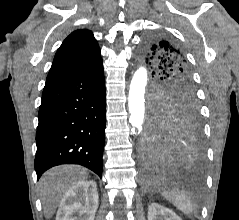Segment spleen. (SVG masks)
Instances as JSON below:
<instances>
[{
	"label": "spleen",
	"mask_w": 239,
	"mask_h": 220,
	"mask_svg": "<svg viewBox=\"0 0 239 220\" xmlns=\"http://www.w3.org/2000/svg\"><path fill=\"white\" fill-rule=\"evenodd\" d=\"M162 195L183 213L190 215L193 212L192 203L185 195L168 191H164Z\"/></svg>",
	"instance_id": "3e777b00"
}]
</instances>
